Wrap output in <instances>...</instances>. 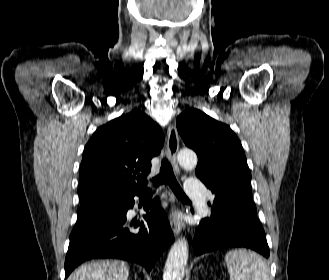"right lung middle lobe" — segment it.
<instances>
[{"label":"right lung middle lobe","instance_id":"obj_1","mask_svg":"<svg viewBox=\"0 0 329 280\" xmlns=\"http://www.w3.org/2000/svg\"><path fill=\"white\" fill-rule=\"evenodd\" d=\"M94 199H90V200H81V206L80 209L85 207L86 205L90 204Z\"/></svg>","mask_w":329,"mask_h":280}]
</instances>
